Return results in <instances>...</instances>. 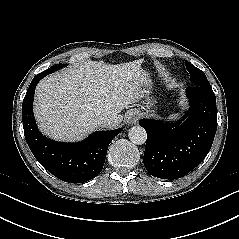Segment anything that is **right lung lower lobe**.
Returning <instances> with one entry per match:
<instances>
[{
    "label": "right lung lower lobe",
    "mask_w": 239,
    "mask_h": 239,
    "mask_svg": "<svg viewBox=\"0 0 239 239\" xmlns=\"http://www.w3.org/2000/svg\"><path fill=\"white\" fill-rule=\"evenodd\" d=\"M49 73L37 74L22 104L23 128L26 142L35 158L51 174L68 183H83L102 170L108 146L122 129L99 131L78 143H61L43 136L36 126L32 105L37 83Z\"/></svg>",
    "instance_id": "1"
}]
</instances>
